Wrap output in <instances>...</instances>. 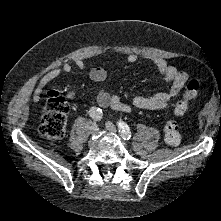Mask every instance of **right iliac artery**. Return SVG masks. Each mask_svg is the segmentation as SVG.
Segmentation results:
<instances>
[{
	"instance_id": "right-iliac-artery-1",
	"label": "right iliac artery",
	"mask_w": 221,
	"mask_h": 221,
	"mask_svg": "<svg viewBox=\"0 0 221 221\" xmlns=\"http://www.w3.org/2000/svg\"><path fill=\"white\" fill-rule=\"evenodd\" d=\"M89 114L90 116L97 120V121H101L102 120V117H103V113H102V110L100 108H96V107H92L90 110H89Z\"/></svg>"
}]
</instances>
